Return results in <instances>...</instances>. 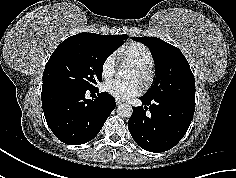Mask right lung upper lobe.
Instances as JSON below:
<instances>
[{
  "instance_id": "obj_1",
  "label": "right lung upper lobe",
  "mask_w": 236,
  "mask_h": 178,
  "mask_svg": "<svg viewBox=\"0 0 236 178\" xmlns=\"http://www.w3.org/2000/svg\"><path fill=\"white\" fill-rule=\"evenodd\" d=\"M79 35H100V34H95V33H80ZM100 36H106V35H100ZM118 36H120V35H113V36L109 35V36H106V37L116 38Z\"/></svg>"
}]
</instances>
